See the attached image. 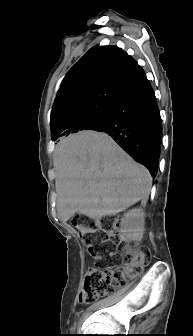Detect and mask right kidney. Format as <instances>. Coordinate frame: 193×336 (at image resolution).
<instances>
[{"mask_svg": "<svg viewBox=\"0 0 193 336\" xmlns=\"http://www.w3.org/2000/svg\"><path fill=\"white\" fill-rule=\"evenodd\" d=\"M145 213L142 208H134L124 214L120 224L121 240L129 242H140L145 231Z\"/></svg>", "mask_w": 193, "mask_h": 336, "instance_id": "right-kidney-1", "label": "right kidney"}]
</instances>
